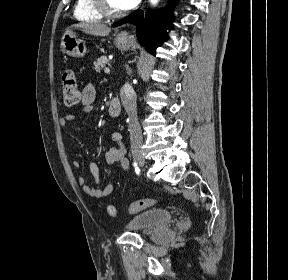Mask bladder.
<instances>
[{
	"label": "bladder",
	"mask_w": 288,
	"mask_h": 280,
	"mask_svg": "<svg viewBox=\"0 0 288 280\" xmlns=\"http://www.w3.org/2000/svg\"><path fill=\"white\" fill-rule=\"evenodd\" d=\"M172 218L170 211L162 208H153L135 215L127 223L130 231H151L164 226Z\"/></svg>",
	"instance_id": "1"
}]
</instances>
